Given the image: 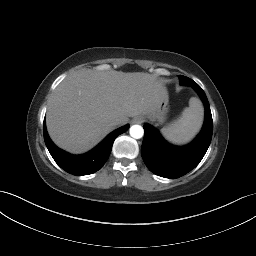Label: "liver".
I'll return each mask as SVG.
<instances>
[{
    "instance_id": "6515ba94",
    "label": "liver",
    "mask_w": 256,
    "mask_h": 256,
    "mask_svg": "<svg viewBox=\"0 0 256 256\" xmlns=\"http://www.w3.org/2000/svg\"><path fill=\"white\" fill-rule=\"evenodd\" d=\"M167 96L163 83L143 72L82 70L66 77L49 100L46 125L60 148L80 154L98 144L118 119L150 114Z\"/></svg>"
}]
</instances>
